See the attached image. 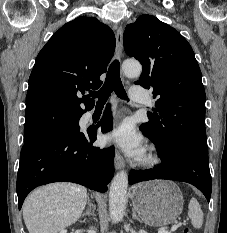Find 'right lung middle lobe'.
<instances>
[{"instance_id":"dd1d6c3e","label":"right lung middle lobe","mask_w":227,"mask_h":233,"mask_svg":"<svg viewBox=\"0 0 227 233\" xmlns=\"http://www.w3.org/2000/svg\"><path fill=\"white\" fill-rule=\"evenodd\" d=\"M76 129H79V119L67 122L63 125H60L54 129L50 130V131H47V132H44L41 134L24 136V141L27 142V141L33 140L35 138H38L40 136H43V135H46L49 133H53V132L74 131Z\"/></svg>"}]
</instances>
